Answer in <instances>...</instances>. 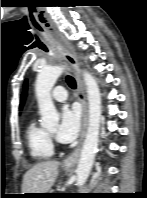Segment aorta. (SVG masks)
<instances>
[{
	"label": "aorta",
	"mask_w": 147,
	"mask_h": 198,
	"mask_svg": "<svg viewBox=\"0 0 147 198\" xmlns=\"http://www.w3.org/2000/svg\"><path fill=\"white\" fill-rule=\"evenodd\" d=\"M63 70V66L44 67L36 79L35 91L41 115L40 122L44 128L56 126L59 122V114L52 101L51 90ZM83 79L88 95L89 119L86 137L76 169L77 185L79 187L86 182L94 162L101 119V95L98 84L95 78L87 71L83 72Z\"/></svg>",
	"instance_id": "1"
}]
</instances>
